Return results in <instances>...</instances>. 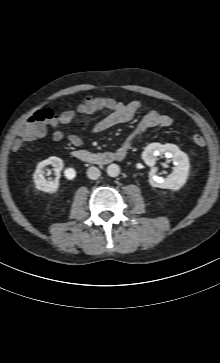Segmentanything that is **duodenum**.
Here are the masks:
<instances>
[{"label": "duodenum", "mask_w": 220, "mask_h": 363, "mask_svg": "<svg viewBox=\"0 0 220 363\" xmlns=\"http://www.w3.org/2000/svg\"><path fill=\"white\" fill-rule=\"evenodd\" d=\"M127 153V148H121L114 152L101 153H93L86 150H77L73 153V156L82 162L101 166L108 165L114 162H120L126 158Z\"/></svg>", "instance_id": "duodenum-1"}]
</instances>
